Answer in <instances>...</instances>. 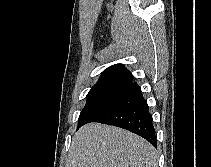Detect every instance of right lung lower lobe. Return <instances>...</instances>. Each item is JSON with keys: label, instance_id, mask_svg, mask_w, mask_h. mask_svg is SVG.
Listing matches in <instances>:
<instances>
[{"label": "right lung lower lobe", "instance_id": "obj_1", "mask_svg": "<svg viewBox=\"0 0 211 167\" xmlns=\"http://www.w3.org/2000/svg\"><path fill=\"white\" fill-rule=\"evenodd\" d=\"M89 122H99L127 129L157 147L152 115L137 83H133L124 94Z\"/></svg>", "mask_w": 211, "mask_h": 167}]
</instances>
